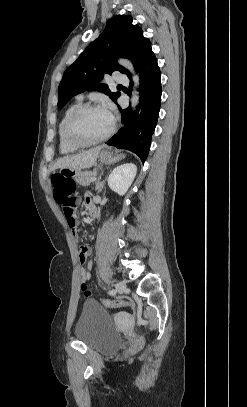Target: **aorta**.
<instances>
[{
  "instance_id": "aorta-1",
  "label": "aorta",
  "mask_w": 247,
  "mask_h": 407,
  "mask_svg": "<svg viewBox=\"0 0 247 407\" xmlns=\"http://www.w3.org/2000/svg\"><path fill=\"white\" fill-rule=\"evenodd\" d=\"M120 64L123 65L124 67H126L127 69L130 70V72L132 73V77H133V81H134V86L137 88L139 86V77L138 75H136L135 70L133 69V66L131 64L130 61L125 60V59H121ZM139 102V94L136 91L132 92V97H131V106L132 108H135L136 105Z\"/></svg>"
}]
</instances>
